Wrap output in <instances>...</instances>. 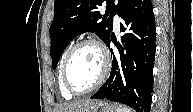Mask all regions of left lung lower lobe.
<instances>
[{
	"label": "left lung lower lobe",
	"instance_id": "1",
	"mask_svg": "<svg viewBox=\"0 0 193 112\" xmlns=\"http://www.w3.org/2000/svg\"><path fill=\"white\" fill-rule=\"evenodd\" d=\"M120 17V30L127 32L116 43L107 81L91 99H108L128 105L137 112H150L156 31L151 0H132ZM112 35L106 42L109 47Z\"/></svg>",
	"mask_w": 193,
	"mask_h": 112
}]
</instances>
